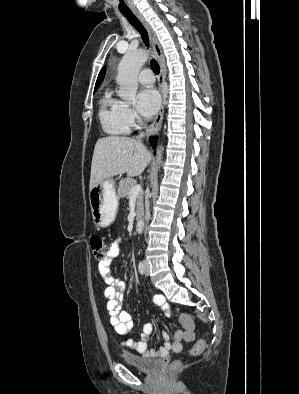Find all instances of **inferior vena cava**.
<instances>
[{
	"mask_svg": "<svg viewBox=\"0 0 299 394\" xmlns=\"http://www.w3.org/2000/svg\"><path fill=\"white\" fill-rule=\"evenodd\" d=\"M143 136H144V134L141 133V134L137 137V139L140 141L141 138H142ZM149 218H150L149 202L146 201V202H145V220H146V222H148ZM145 235H146V229H145Z\"/></svg>",
	"mask_w": 299,
	"mask_h": 394,
	"instance_id": "602c4592",
	"label": "inferior vena cava"
}]
</instances>
